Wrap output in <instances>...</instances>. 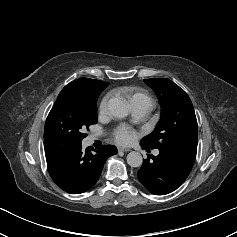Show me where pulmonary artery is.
Returning a JSON list of instances; mask_svg holds the SVG:
<instances>
[{
    "instance_id": "obj_1",
    "label": "pulmonary artery",
    "mask_w": 237,
    "mask_h": 237,
    "mask_svg": "<svg viewBox=\"0 0 237 237\" xmlns=\"http://www.w3.org/2000/svg\"><path fill=\"white\" fill-rule=\"evenodd\" d=\"M152 106L147 103H135L132 105V115L136 122L142 121L151 111ZM94 138V137H93ZM159 151L155 150L154 155H158Z\"/></svg>"
}]
</instances>
